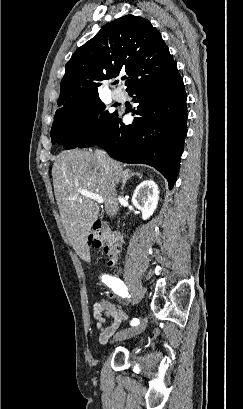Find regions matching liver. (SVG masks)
I'll list each match as a JSON object with an SVG mask.
<instances>
[{"label": "liver", "mask_w": 243, "mask_h": 409, "mask_svg": "<svg viewBox=\"0 0 243 409\" xmlns=\"http://www.w3.org/2000/svg\"><path fill=\"white\" fill-rule=\"evenodd\" d=\"M130 174L109 157L106 164L98 162L90 151H64L55 159L52 168L55 197L66 236L78 254L88 250L87 237L98 218L99 206L77 193V189L101 195L106 213L115 216L118 212L115 184Z\"/></svg>", "instance_id": "1"}]
</instances>
